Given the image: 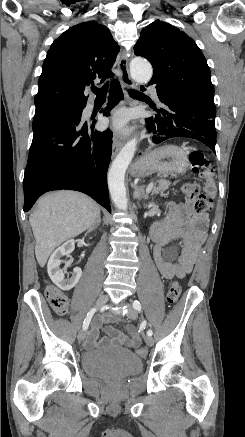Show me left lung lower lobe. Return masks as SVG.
I'll list each match as a JSON object with an SVG mask.
<instances>
[{"mask_svg": "<svg viewBox=\"0 0 245 437\" xmlns=\"http://www.w3.org/2000/svg\"><path fill=\"white\" fill-rule=\"evenodd\" d=\"M149 84H155L150 82ZM162 108L151 107L157 115L145 119L156 144L172 137L199 140L215 153L214 102L193 92L156 84Z\"/></svg>", "mask_w": 245, "mask_h": 437, "instance_id": "left-lung-lower-lobe-1", "label": "left lung lower lobe"}]
</instances>
